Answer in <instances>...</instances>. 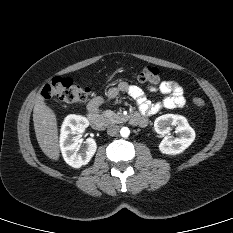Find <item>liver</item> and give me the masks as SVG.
Wrapping results in <instances>:
<instances>
[{
  "instance_id": "obj_1",
  "label": "liver",
  "mask_w": 233,
  "mask_h": 233,
  "mask_svg": "<svg viewBox=\"0 0 233 233\" xmlns=\"http://www.w3.org/2000/svg\"><path fill=\"white\" fill-rule=\"evenodd\" d=\"M33 122L36 138L43 153L52 160H59L60 149L56 115L46 105L40 94L35 99Z\"/></svg>"
}]
</instances>
